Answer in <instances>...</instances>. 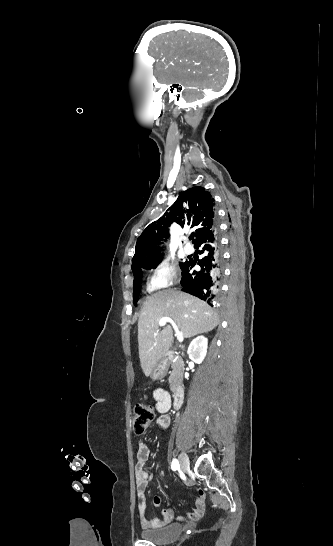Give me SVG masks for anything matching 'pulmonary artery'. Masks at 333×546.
I'll return each instance as SVG.
<instances>
[{"label": "pulmonary artery", "instance_id": "1", "mask_svg": "<svg viewBox=\"0 0 333 546\" xmlns=\"http://www.w3.org/2000/svg\"><path fill=\"white\" fill-rule=\"evenodd\" d=\"M183 250L186 254H192L194 252V247L191 244H186Z\"/></svg>", "mask_w": 333, "mask_h": 546}]
</instances>
